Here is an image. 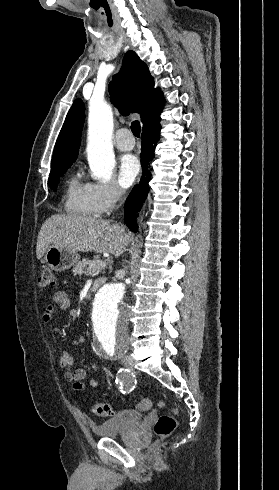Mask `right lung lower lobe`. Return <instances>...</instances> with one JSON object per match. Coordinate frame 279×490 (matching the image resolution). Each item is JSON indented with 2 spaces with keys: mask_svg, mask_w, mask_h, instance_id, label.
Here are the masks:
<instances>
[{
  "mask_svg": "<svg viewBox=\"0 0 279 490\" xmlns=\"http://www.w3.org/2000/svg\"><path fill=\"white\" fill-rule=\"evenodd\" d=\"M160 129H150L143 131L141 145V164L143 173L140 182L133 188L125 202L124 219L126 225L134 232L137 231V225L134 221L135 212L140 210L142 203L147 198L149 192V181L151 179V171L149 163L154 158V149L159 140Z\"/></svg>",
  "mask_w": 279,
  "mask_h": 490,
  "instance_id": "obj_1",
  "label": "right lung lower lobe"
}]
</instances>
